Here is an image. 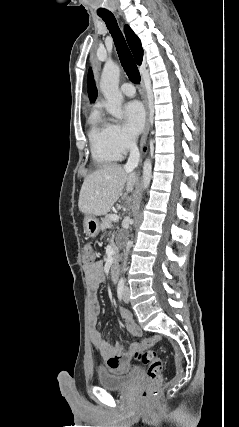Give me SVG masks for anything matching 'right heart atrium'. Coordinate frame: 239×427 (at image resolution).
<instances>
[{
    "label": "right heart atrium",
    "instance_id": "1",
    "mask_svg": "<svg viewBox=\"0 0 239 427\" xmlns=\"http://www.w3.org/2000/svg\"><path fill=\"white\" fill-rule=\"evenodd\" d=\"M107 127L110 142L121 156L134 147L135 142L133 137L120 124L108 123Z\"/></svg>",
    "mask_w": 239,
    "mask_h": 427
}]
</instances>
